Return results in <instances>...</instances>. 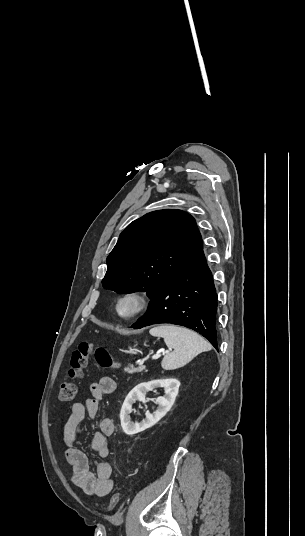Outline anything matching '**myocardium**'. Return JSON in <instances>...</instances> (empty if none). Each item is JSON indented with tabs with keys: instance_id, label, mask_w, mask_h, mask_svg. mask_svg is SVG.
I'll return each mask as SVG.
<instances>
[{
	"instance_id": "1",
	"label": "myocardium",
	"mask_w": 305,
	"mask_h": 536,
	"mask_svg": "<svg viewBox=\"0 0 305 536\" xmlns=\"http://www.w3.org/2000/svg\"><path fill=\"white\" fill-rule=\"evenodd\" d=\"M127 297H134L138 300V308L130 315H123L119 310V302ZM151 298L147 291L140 288H131L121 292L114 302V313L122 321H134L144 316L150 309Z\"/></svg>"
}]
</instances>
